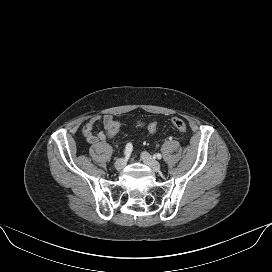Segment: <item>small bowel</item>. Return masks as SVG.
<instances>
[{"label": "small bowel", "instance_id": "obj_1", "mask_svg": "<svg viewBox=\"0 0 272 272\" xmlns=\"http://www.w3.org/2000/svg\"><path fill=\"white\" fill-rule=\"evenodd\" d=\"M114 122V118L112 115L105 114L103 116H94L90 120L86 122L83 126L82 132L89 144H96L99 142L106 141L109 138L108 129L111 124ZM101 123L104 126V131L96 132L94 127L96 124Z\"/></svg>", "mask_w": 272, "mask_h": 272}]
</instances>
